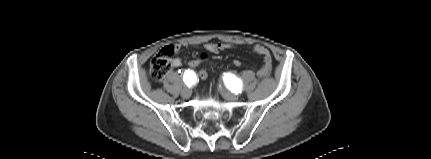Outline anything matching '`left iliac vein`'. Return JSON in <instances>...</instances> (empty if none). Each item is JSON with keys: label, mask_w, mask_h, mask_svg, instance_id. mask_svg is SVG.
Instances as JSON below:
<instances>
[{"label": "left iliac vein", "mask_w": 431, "mask_h": 159, "mask_svg": "<svg viewBox=\"0 0 431 159\" xmlns=\"http://www.w3.org/2000/svg\"><path fill=\"white\" fill-rule=\"evenodd\" d=\"M222 94L229 101H236L238 99L237 95H235V94H233V93H231L225 89H222Z\"/></svg>", "instance_id": "1"}]
</instances>
